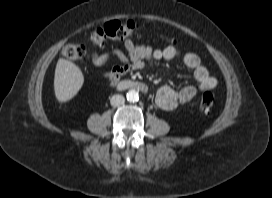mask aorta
<instances>
[{"label":"aorta","mask_w":272,"mask_h":198,"mask_svg":"<svg viewBox=\"0 0 272 198\" xmlns=\"http://www.w3.org/2000/svg\"><path fill=\"white\" fill-rule=\"evenodd\" d=\"M126 96L127 100L130 102H136L139 100V94L136 90H129Z\"/></svg>","instance_id":"762f6f07"}]
</instances>
